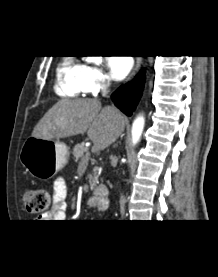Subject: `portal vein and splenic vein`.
Returning a JSON list of instances; mask_svg holds the SVG:
<instances>
[{"label": "portal vein and splenic vein", "mask_w": 218, "mask_h": 277, "mask_svg": "<svg viewBox=\"0 0 218 277\" xmlns=\"http://www.w3.org/2000/svg\"><path fill=\"white\" fill-rule=\"evenodd\" d=\"M83 162H84V163H86V162H87V160H83Z\"/></svg>", "instance_id": "1"}]
</instances>
